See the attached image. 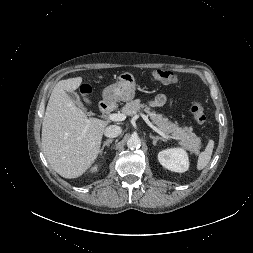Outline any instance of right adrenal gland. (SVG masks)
Wrapping results in <instances>:
<instances>
[{
  "label": "right adrenal gland",
  "mask_w": 253,
  "mask_h": 253,
  "mask_svg": "<svg viewBox=\"0 0 253 253\" xmlns=\"http://www.w3.org/2000/svg\"><path fill=\"white\" fill-rule=\"evenodd\" d=\"M112 141H113V139H108V140H106V141L103 143V146H102V148L100 149V155L103 154V151H104L105 146L109 147V146H110V143H112Z\"/></svg>",
  "instance_id": "right-adrenal-gland-1"
}]
</instances>
